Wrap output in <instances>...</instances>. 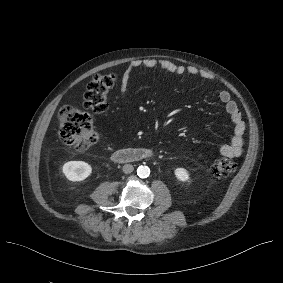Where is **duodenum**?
<instances>
[{
    "label": "duodenum",
    "mask_w": 283,
    "mask_h": 283,
    "mask_svg": "<svg viewBox=\"0 0 283 283\" xmlns=\"http://www.w3.org/2000/svg\"><path fill=\"white\" fill-rule=\"evenodd\" d=\"M153 151L148 148H129L113 153L112 160L116 163L143 161L152 158Z\"/></svg>",
    "instance_id": "obj_1"
}]
</instances>
